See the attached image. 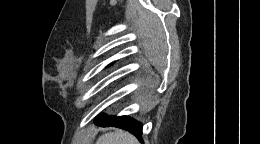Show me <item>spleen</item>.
<instances>
[{
	"mask_svg": "<svg viewBox=\"0 0 260 144\" xmlns=\"http://www.w3.org/2000/svg\"><path fill=\"white\" fill-rule=\"evenodd\" d=\"M96 144H138L137 139L128 132L117 130L106 133L97 140Z\"/></svg>",
	"mask_w": 260,
	"mask_h": 144,
	"instance_id": "spleen-1",
	"label": "spleen"
}]
</instances>
